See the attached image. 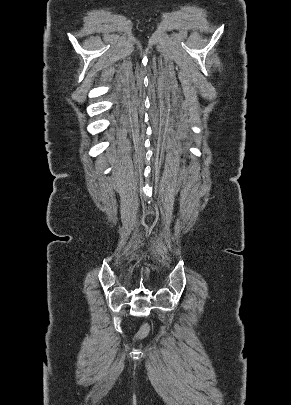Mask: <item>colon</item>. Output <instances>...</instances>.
<instances>
[{
    "label": "colon",
    "mask_w": 291,
    "mask_h": 405,
    "mask_svg": "<svg viewBox=\"0 0 291 405\" xmlns=\"http://www.w3.org/2000/svg\"><path fill=\"white\" fill-rule=\"evenodd\" d=\"M149 332L150 326L148 323H146L140 328L139 332L137 333L136 339L141 340L146 338L149 335Z\"/></svg>",
    "instance_id": "obj_1"
}]
</instances>
